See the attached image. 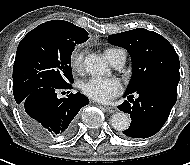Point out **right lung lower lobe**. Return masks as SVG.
<instances>
[{
    "label": "right lung lower lobe",
    "mask_w": 190,
    "mask_h": 165,
    "mask_svg": "<svg viewBox=\"0 0 190 165\" xmlns=\"http://www.w3.org/2000/svg\"><path fill=\"white\" fill-rule=\"evenodd\" d=\"M58 89H72V85L36 89L18 107L24 124L41 141L69 137L73 133L77 113L89 104L88 98L79 92L59 99Z\"/></svg>",
    "instance_id": "obj_1"
}]
</instances>
